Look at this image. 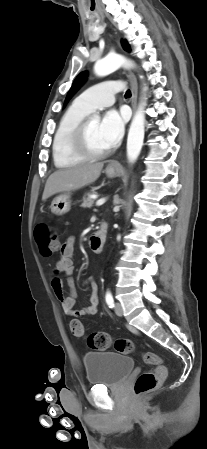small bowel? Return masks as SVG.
Masks as SVG:
<instances>
[{
    "label": "small bowel",
    "mask_w": 207,
    "mask_h": 449,
    "mask_svg": "<svg viewBox=\"0 0 207 449\" xmlns=\"http://www.w3.org/2000/svg\"><path fill=\"white\" fill-rule=\"evenodd\" d=\"M75 248V238L69 237L60 248L59 257L54 264L55 273H64L67 276V281L70 286L69 295L65 296L63 290V283L59 277L52 279V288L56 297L61 301L62 309L68 316L82 317L91 316L97 313L98 298L94 292L90 297V303L82 309H74L73 306L76 300L75 283L72 277L74 272L73 254ZM86 285H92L94 287L93 277H88L85 280Z\"/></svg>",
    "instance_id": "1"
}]
</instances>
